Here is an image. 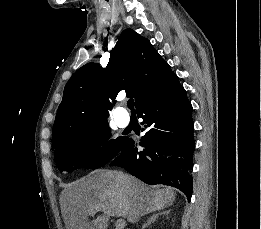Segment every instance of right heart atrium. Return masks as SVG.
I'll return each instance as SVG.
<instances>
[{"label": "right heart atrium", "mask_w": 261, "mask_h": 229, "mask_svg": "<svg viewBox=\"0 0 261 229\" xmlns=\"http://www.w3.org/2000/svg\"><path fill=\"white\" fill-rule=\"evenodd\" d=\"M105 146V140L103 138H97L93 143V150L99 153Z\"/></svg>", "instance_id": "d8ad5b80"}]
</instances>
